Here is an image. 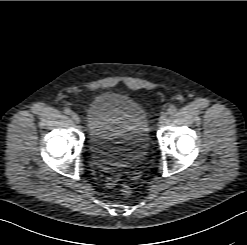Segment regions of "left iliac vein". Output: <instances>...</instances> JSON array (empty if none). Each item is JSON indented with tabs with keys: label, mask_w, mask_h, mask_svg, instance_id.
<instances>
[{
	"label": "left iliac vein",
	"mask_w": 247,
	"mask_h": 245,
	"mask_svg": "<svg viewBox=\"0 0 247 245\" xmlns=\"http://www.w3.org/2000/svg\"><path fill=\"white\" fill-rule=\"evenodd\" d=\"M167 115H168L167 112H162V113H161V115H160V117H159V125H160V126H162V125L165 123V121H166V119H167Z\"/></svg>",
	"instance_id": "obj_1"
}]
</instances>
